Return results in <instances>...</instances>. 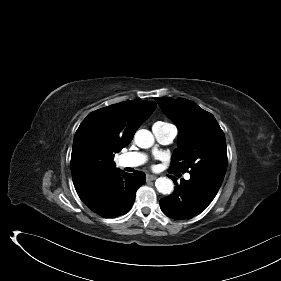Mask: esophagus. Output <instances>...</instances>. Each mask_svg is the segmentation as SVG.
I'll list each match as a JSON object with an SVG mask.
<instances>
[{"label":"esophagus","mask_w":281,"mask_h":281,"mask_svg":"<svg viewBox=\"0 0 281 281\" xmlns=\"http://www.w3.org/2000/svg\"><path fill=\"white\" fill-rule=\"evenodd\" d=\"M156 178H157L156 176L150 175V174H148V175L146 176V180H147V181H153V180H155Z\"/></svg>","instance_id":"34e87169"}]
</instances>
